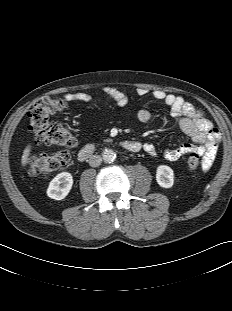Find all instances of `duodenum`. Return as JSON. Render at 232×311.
Returning <instances> with one entry per match:
<instances>
[{"mask_svg":"<svg viewBox=\"0 0 232 311\" xmlns=\"http://www.w3.org/2000/svg\"><path fill=\"white\" fill-rule=\"evenodd\" d=\"M121 146L125 150L132 152V153H136L141 149L140 143L136 141H124L122 142ZM95 150L96 148L93 144H86L80 149L78 153V157L81 161H84L90 158L95 153Z\"/></svg>","mask_w":232,"mask_h":311,"instance_id":"duodenum-1","label":"duodenum"}]
</instances>
